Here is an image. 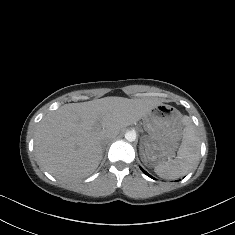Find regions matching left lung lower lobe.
<instances>
[{"label":"left lung lower lobe","mask_w":235,"mask_h":235,"mask_svg":"<svg viewBox=\"0 0 235 235\" xmlns=\"http://www.w3.org/2000/svg\"><path fill=\"white\" fill-rule=\"evenodd\" d=\"M141 169H142V168H141ZM142 171H143L146 175L150 176L145 170L142 169Z\"/></svg>","instance_id":"obj_1"}]
</instances>
